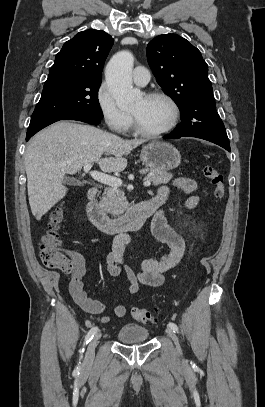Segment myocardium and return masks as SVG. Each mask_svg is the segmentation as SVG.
I'll list each match as a JSON object with an SVG mask.
<instances>
[{
    "label": "myocardium",
    "mask_w": 265,
    "mask_h": 407,
    "mask_svg": "<svg viewBox=\"0 0 265 407\" xmlns=\"http://www.w3.org/2000/svg\"><path fill=\"white\" fill-rule=\"evenodd\" d=\"M143 97L147 100H152V99L165 100L172 108V112H173L172 120L168 124V126L162 130L146 131L139 126L135 116L133 114H131L133 131L137 135L144 137V138H159V137H163V136H166L169 133H171L178 125L180 117H181V110H180V107H179L177 101L171 95H169L165 92H161V91L149 92V93H146Z\"/></svg>",
    "instance_id": "myocardium-1"
}]
</instances>
